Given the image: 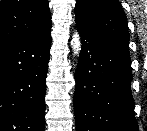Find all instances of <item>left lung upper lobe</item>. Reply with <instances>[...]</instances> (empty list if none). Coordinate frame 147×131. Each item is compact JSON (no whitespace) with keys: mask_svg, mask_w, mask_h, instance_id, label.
Masks as SVG:
<instances>
[{"mask_svg":"<svg viewBox=\"0 0 147 131\" xmlns=\"http://www.w3.org/2000/svg\"><path fill=\"white\" fill-rule=\"evenodd\" d=\"M76 24L128 49L126 15L118 0H76Z\"/></svg>","mask_w":147,"mask_h":131,"instance_id":"obj_1","label":"left lung upper lobe"}]
</instances>
